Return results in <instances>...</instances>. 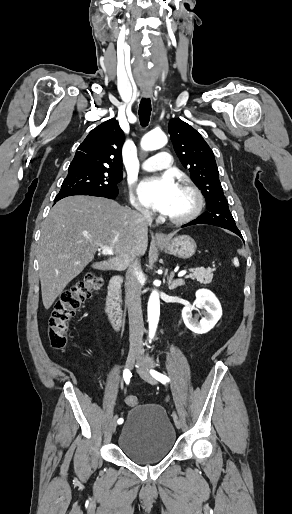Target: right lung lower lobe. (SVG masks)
Instances as JSON below:
<instances>
[{"instance_id": "right-lung-lower-lobe-1", "label": "right lung lower lobe", "mask_w": 292, "mask_h": 514, "mask_svg": "<svg viewBox=\"0 0 292 514\" xmlns=\"http://www.w3.org/2000/svg\"><path fill=\"white\" fill-rule=\"evenodd\" d=\"M73 195L102 196V197H106V198H109V199H114L118 194H117V195H107V194H88V193L65 194V195H62V196L55 197L54 203H56L57 201H59V200H60V199H62V198H65V197H68V196H73Z\"/></svg>"}]
</instances>
